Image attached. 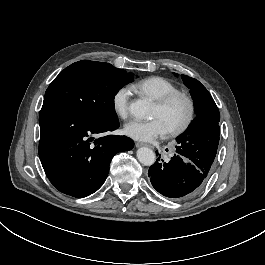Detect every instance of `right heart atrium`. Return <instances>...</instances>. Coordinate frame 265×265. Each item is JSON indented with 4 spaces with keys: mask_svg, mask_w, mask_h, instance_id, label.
<instances>
[{
    "mask_svg": "<svg viewBox=\"0 0 265 265\" xmlns=\"http://www.w3.org/2000/svg\"><path fill=\"white\" fill-rule=\"evenodd\" d=\"M130 100L131 93L127 88H118L110 97V104L119 120H126L129 117Z\"/></svg>",
    "mask_w": 265,
    "mask_h": 265,
    "instance_id": "d8ad5b80",
    "label": "right heart atrium"
}]
</instances>
